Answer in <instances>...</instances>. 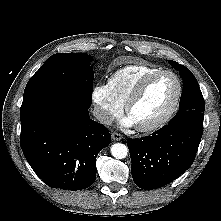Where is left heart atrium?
I'll return each instance as SVG.
<instances>
[{
  "label": "left heart atrium",
  "instance_id": "39dd6f15",
  "mask_svg": "<svg viewBox=\"0 0 221 221\" xmlns=\"http://www.w3.org/2000/svg\"><path fill=\"white\" fill-rule=\"evenodd\" d=\"M123 125L124 126H127V127H130V126H133L134 125V123H133V121L131 120V118L128 116V117H126L124 120H123Z\"/></svg>",
  "mask_w": 221,
  "mask_h": 221
}]
</instances>
